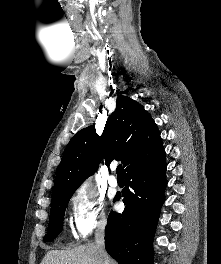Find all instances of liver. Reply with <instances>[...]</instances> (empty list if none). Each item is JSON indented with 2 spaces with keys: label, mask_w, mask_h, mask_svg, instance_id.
<instances>
[{
  "label": "liver",
  "mask_w": 221,
  "mask_h": 264,
  "mask_svg": "<svg viewBox=\"0 0 221 264\" xmlns=\"http://www.w3.org/2000/svg\"><path fill=\"white\" fill-rule=\"evenodd\" d=\"M108 256V255H107ZM109 264H117L108 257ZM40 264H103L96 245L86 244L72 250L48 251Z\"/></svg>",
  "instance_id": "6515ba94"
}]
</instances>
